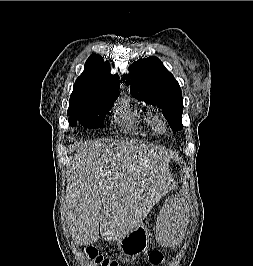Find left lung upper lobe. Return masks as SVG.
Listing matches in <instances>:
<instances>
[{"label": "left lung upper lobe", "instance_id": "5c2ea615", "mask_svg": "<svg viewBox=\"0 0 253 266\" xmlns=\"http://www.w3.org/2000/svg\"><path fill=\"white\" fill-rule=\"evenodd\" d=\"M123 75V81L130 85L133 97L158 107L173 131L182 125L183 97L180 86L173 75L154 56L139 59Z\"/></svg>", "mask_w": 253, "mask_h": 266}]
</instances>
